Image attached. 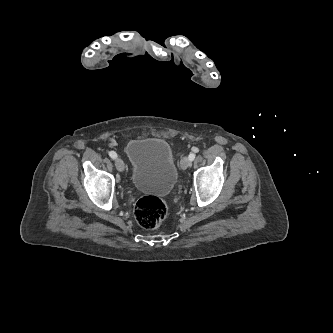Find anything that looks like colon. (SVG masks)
<instances>
[{"label":"colon","instance_id":"5ec220e1","mask_svg":"<svg viewBox=\"0 0 333 333\" xmlns=\"http://www.w3.org/2000/svg\"><path fill=\"white\" fill-rule=\"evenodd\" d=\"M134 214L140 226L146 229H153L166 221L168 208L161 198L147 195L138 200Z\"/></svg>","mask_w":333,"mask_h":333}]
</instances>
